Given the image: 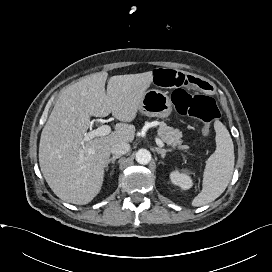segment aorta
I'll return each mask as SVG.
<instances>
[{
  "label": "aorta",
  "instance_id": "aorta-1",
  "mask_svg": "<svg viewBox=\"0 0 272 272\" xmlns=\"http://www.w3.org/2000/svg\"><path fill=\"white\" fill-rule=\"evenodd\" d=\"M151 153L146 149H140L136 153V161L139 164L147 165L151 161Z\"/></svg>",
  "mask_w": 272,
  "mask_h": 272
}]
</instances>
